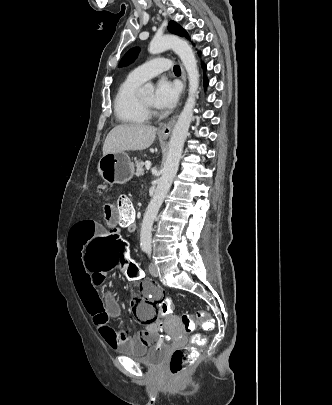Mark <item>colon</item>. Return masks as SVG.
Wrapping results in <instances>:
<instances>
[{
  "mask_svg": "<svg viewBox=\"0 0 332 405\" xmlns=\"http://www.w3.org/2000/svg\"><path fill=\"white\" fill-rule=\"evenodd\" d=\"M114 208L120 210V221L128 222L135 217V209L130 198L125 194L116 197ZM100 240H91V248L86 249L89 271L94 275H127V282H141L144 277L142 267L138 262H133L132 256H126V241L121 240L120 234H101ZM151 288H162L160 285L153 284ZM164 299H158L157 306L160 313L154 314V321L158 330L167 328V320L173 318V301L167 294ZM196 318L202 323L205 330H212L213 324L204 310L196 313ZM182 329L185 332H192L194 328V319L189 313H183L180 317ZM161 342H168L170 335L161 333L159 335ZM195 343H202L204 338L201 334L193 336ZM197 359V351L193 346H186L175 349L169 361L170 373L174 376L181 375Z\"/></svg>",
  "mask_w": 332,
  "mask_h": 405,
  "instance_id": "obj_1",
  "label": "colon"
}]
</instances>
